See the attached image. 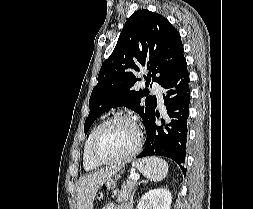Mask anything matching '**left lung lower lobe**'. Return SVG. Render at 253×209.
I'll use <instances>...</instances> for the list:
<instances>
[{
  "label": "left lung lower lobe",
  "instance_id": "1",
  "mask_svg": "<svg viewBox=\"0 0 253 209\" xmlns=\"http://www.w3.org/2000/svg\"><path fill=\"white\" fill-rule=\"evenodd\" d=\"M162 87L166 120L159 118L158 111L146 125V141L143 151L137 156H165L174 160L186 173L184 167L187 142V122L189 116L190 88L189 73L185 58L164 81Z\"/></svg>",
  "mask_w": 253,
  "mask_h": 209
}]
</instances>
